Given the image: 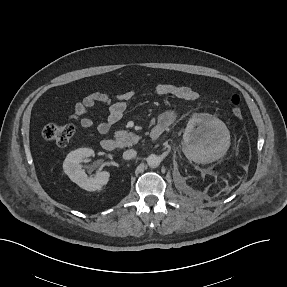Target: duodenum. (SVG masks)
Instances as JSON below:
<instances>
[{
  "label": "duodenum",
  "mask_w": 287,
  "mask_h": 287,
  "mask_svg": "<svg viewBox=\"0 0 287 287\" xmlns=\"http://www.w3.org/2000/svg\"><path fill=\"white\" fill-rule=\"evenodd\" d=\"M163 126L153 127L150 131V137L152 139H158L164 132ZM117 141L113 138H105L101 141V147L105 151H114L117 148Z\"/></svg>",
  "instance_id": "410a0bca"
}]
</instances>
